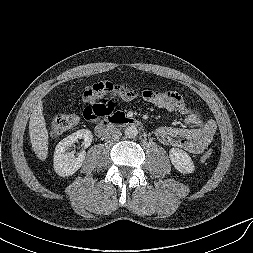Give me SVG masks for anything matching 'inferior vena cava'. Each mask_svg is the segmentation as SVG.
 Wrapping results in <instances>:
<instances>
[{
    "mask_svg": "<svg viewBox=\"0 0 253 253\" xmlns=\"http://www.w3.org/2000/svg\"><path fill=\"white\" fill-rule=\"evenodd\" d=\"M121 136V131L114 127L107 128L104 132V139L108 142L117 141Z\"/></svg>",
    "mask_w": 253,
    "mask_h": 253,
    "instance_id": "1",
    "label": "inferior vena cava"
}]
</instances>
